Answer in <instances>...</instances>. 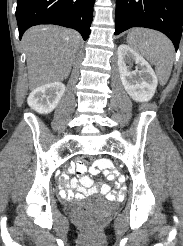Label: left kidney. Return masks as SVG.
I'll return each instance as SVG.
<instances>
[{"instance_id":"left-kidney-1","label":"left kidney","mask_w":183,"mask_h":246,"mask_svg":"<svg viewBox=\"0 0 183 246\" xmlns=\"http://www.w3.org/2000/svg\"><path fill=\"white\" fill-rule=\"evenodd\" d=\"M117 54L120 79L129 96L137 102L149 101L158 85V79L150 64L125 44L118 47ZM133 62L136 64L134 71L131 70Z\"/></svg>"}]
</instances>
